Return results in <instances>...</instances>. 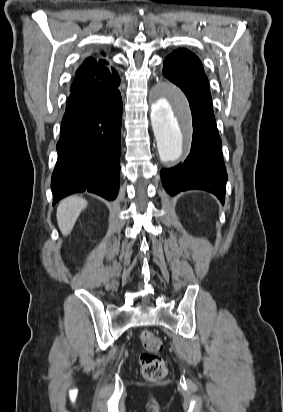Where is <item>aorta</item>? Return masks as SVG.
Returning a JSON list of instances; mask_svg holds the SVG:
<instances>
[{
  "mask_svg": "<svg viewBox=\"0 0 283 412\" xmlns=\"http://www.w3.org/2000/svg\"><path fill=\"white\" fill-rule=\"evenodd\" d=\"M190 113L185 96L173 85L163 86L151 107V122L160 159L174 161L183 154Z\"/></svg>",
  "mask_w": 283,
  "mask_h": 412,
  "instance_id": "aorta-1",
  "label": "aorta"
}]
</instances>
